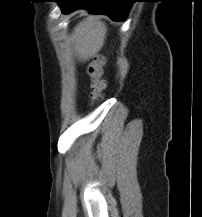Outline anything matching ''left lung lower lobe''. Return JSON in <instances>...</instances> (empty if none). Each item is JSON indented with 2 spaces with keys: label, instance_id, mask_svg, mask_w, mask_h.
I'll return each instance as SVG.
<instances>
[{
  "label": "left lung lower lobe",
  "instance_id": "left-lung-lower-lobe-1",
  "mask_svg": "<svg viewBox=\"0 0 202 217\" xmlns=\"http://www.w3.org/2000/svg\"><path fill=\"white\" fill-rule=\"evenodd\" d=\"M62 13L87 9L95 14H106L114 21H123L135 0H57Z\"/></svg>",
  "mask_w": 202,
  "mask_h": 217
}]
</instances>
